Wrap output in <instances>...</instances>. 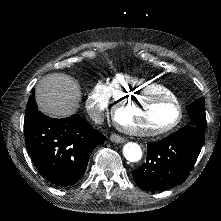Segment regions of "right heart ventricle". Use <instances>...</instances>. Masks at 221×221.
Instances as JSON below:
<instances>
[{
  "instance_id": "right-heart-ventricle-1",
  "label": "right heart ventricle",
  "mask_w": 221,
  "mask_h": 221,
  "mask_svg": "<svg viewBox=\"0 0 221 221\" xmlns=\"http://www.w3.org/2000/svg\"><path fill=\"white\" fill-rule=\"evenodd\" d=\"M108 89L110 96L117 99L149 96L151 94L169 98L173 94L172 89L169 87L155 83L149 84L148 80H140L127 74L116 76L115 79L111 81Z\"/></svg>"
}]
</instances>
